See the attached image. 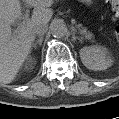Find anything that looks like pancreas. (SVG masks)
I'll list each match as a JSON object with an SVG mask.
<instances>
[{
	"instance_id": "pancreas-1",
	"label": "pancreas",
	"mask_w": 119,
	"mask_h": 119,
	"mask_svg": "<svg viewBox=\"0 0 119 119\" xmlns=\"http://www.w3.org/2000/svg\"><path fill=\"white\" fill-rule=\"evenodd\" d=\"M77 30H78V32H79L83 37H85L86 39H88V40H93V34H92L91 32H89V31H87L86 28L82 27L81 24H79V25L77 26Z\"/></svg>"
}]
</instances>
